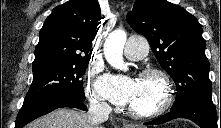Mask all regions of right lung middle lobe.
<instances>
[{
  "instance_id": "obj_1",
  "label": "right lung middle lobe",
  "mask_w": 221,
  "mask_h": 128,
  "mask_svg": "<svg viewBox=\"0 0 221 128\" xmlns=\"http://www.w3.org/2000/svg\"><path fill=\"white\" fill-rule=\"evenodd\" d=\"M88 63L89 59L33 71V81L24 103L53 94H69L85 100L80 78L83 76Z\"/></svg>"
}]
</instances>
